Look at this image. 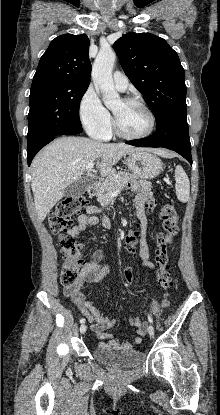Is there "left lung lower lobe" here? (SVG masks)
<instances>
[{
    "instance_id": "1",
    "label": "left lung lower lobe",
    "mask_w": 220,
    "mask_h": 415,
    "mask_svg": "<svg viewBox=\"0 0 220 415\" xmlns=\"http://www.w3.org/2000/svg\"><path fill=\"white\" fill-rule=\"evenodd\" d=\"M186 112V107L169 112L156 122V132L152 136L126 143L137 147H164L179 153L192 165Z\"/></svg>"
}]
</instances>
